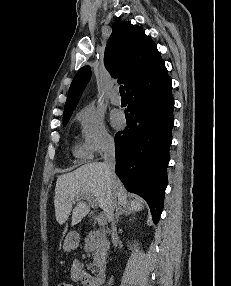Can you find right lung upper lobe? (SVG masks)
<instances>
[{
    "label": "right lung upper lobe",
    "instance_id": "1",
    "mask_svg": "<svg viewBox=\"0 0 231 286\" xmlns=\"http://www.w3.org/2000/svg\"><path fill=\"white\" fill-rule=\"evenodd\" d=\"M104 64L109 73L125 85V89L136 80L167 70L152 39L145 35L142 27L132 25L129 21H117L113 25L105 49ZM90 76L89 66L77 72L69 88L64 115L75 109Z\"/></svg>",
    "mask_w": 231,
    "mask_h": 286
}]
</instances>
